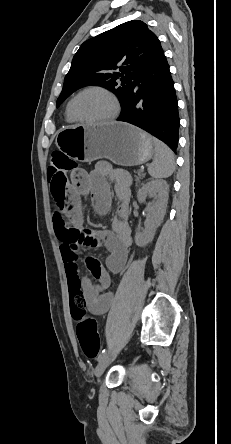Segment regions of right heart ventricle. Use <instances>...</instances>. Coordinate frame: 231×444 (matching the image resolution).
<instances>
[{"label":"right heart ventricle","instance_id":"e07e8e85","mask_svg":"<svg viewBox=\"0 0 231 444\" xmlns=\"http://www.w3.org/2000/svg\"><path fill=\"white\" fill-rule=\"evenodd\" d=\"M70 102H71V100L68 102V104L66 106L65 117L69 123H74V122H76V120L72 117V115L70 113Z\"/></svg>","mask_w":231,"mask_h":444}]
</instances>
